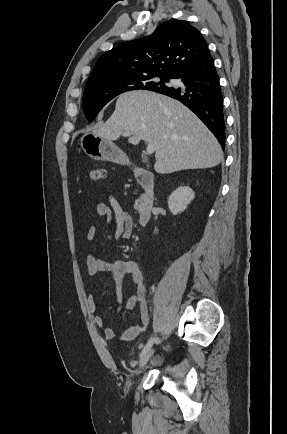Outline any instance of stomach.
<instances>
[{
    "instance_id": "obj_1",
    "label": "stomach",
    "mask_w": 287,
    "mask_h": 434,
    "mask_svg": "<svg viewBox=\"0 0 287 434\" xmlns=\"http://www.w3.org/2000/svg\"><path fill=\"white\" fill-rule=\"evenodd\" d=\"M82 150L90 158L97 161H111L127 164L128 157L111 141H108L94 132H85L80 138Z\"/></svg>"
}]
</instances>
